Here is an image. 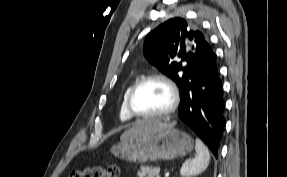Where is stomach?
<instances>
[{
    "instance_id": "0dacf381",
    "label": "stomach",
    "mask_w": 287,
    "mask_h": 177,
    "mask_svg": "<svg viewBox=\"0 0 287 177\" xmlns=\"http://www.w3.org/2000/svg\"><path fill=\"white\" fill-rule=\"evenodd\" d=\"M194 146L187 133L172 127L121 139L110 151L122 160L134 163L168 161L186 156Z\"/></svg>"
}]
</instances>
